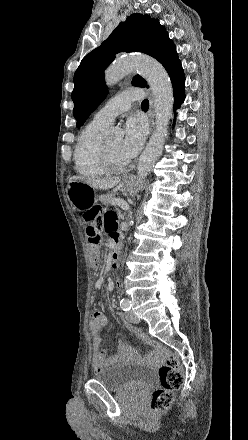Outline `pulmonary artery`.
<instances>
[{"label": "pulmonary artery", "instance_id": "obj_1", "mask_svg": "<svg viewBox=\"0 0 248 440\" xmlns=\"http://www.w3.org/2000/svg\"><path fill=\"white\" fill-rule=\"evenodd\" d=\"M143 97V91L138 88H131L120 92L110 99L99 111L96 112L94 120L98 123L109 125L115 117L126 112L133 101Z\"/></svg>", "mask_w": 248, "mask_h": 440}]
</instances>
